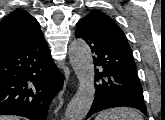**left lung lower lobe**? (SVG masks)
I'll list each match as a JSON object with an SVG mask.
<instances>
[{
  "mask_svg": "<svg viewBox=\"0 0 165 120\" xmlns=\"http://www.w3.org/2000/svg\"><path fill=\"white\" fill-rule=\"evenodd\" d=\"M89 45L95 69V98L87 118L107 108L127 106L147 113L143 90L131 49L97 30L92 21L82 18L75 31Z\"/></svg>",
  "mask_w": 165,
  "mask_h": 120,
  "instance_id": "1",
  "label": "left lung lower lobe"
}]
</instances>
